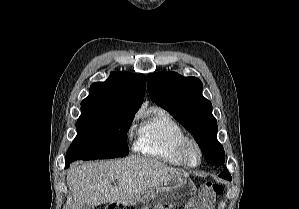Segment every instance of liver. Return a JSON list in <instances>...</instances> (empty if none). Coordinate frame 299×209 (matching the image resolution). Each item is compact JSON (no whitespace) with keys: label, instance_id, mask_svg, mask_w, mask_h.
Listing matches in <instances>:
<instances>
[{"label":"liver","instance_id":"1","mask_svg":"<svg viewBox=\"0 0 299 209\" xmlns=\"http://www.w3.org/2000/svg\"><path fill=\"white\" fill-rule=\"evenodd\" d=\"M179 176L188 177L189 174L156 159L140 156L74 165L67 175V185L73 196L71 209H82L84 204L96 206L131 201ZM114 180L117 186H112Z\"/></svg>","mask_w":299,"mask_h":209}]
</instances>
